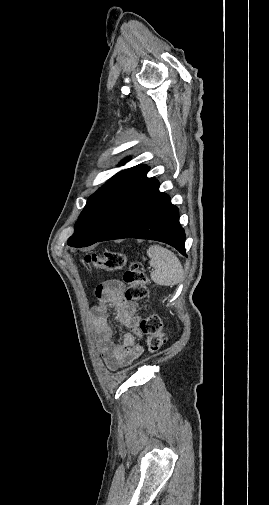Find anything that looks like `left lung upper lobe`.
Listing matches in <instances>:
<instances>
[{
  "instance_id": "5c2ea615",
  "label": "left lung upper lobe",
  "mask_w": 269,
  "mask_h": 505,
  "mask_svg": "<svg viewBox=\"0 0 269 505\" xmlns=\"http://www.w3.org/2000/svg\"><path fill=\"white\" fill-rule=\"evenodd\" d=\"M146 168V165H138L122 170L91 195L67 244L86 247L96 243L110 229L130 200Z\"/></svg>"
}]
</instances>
